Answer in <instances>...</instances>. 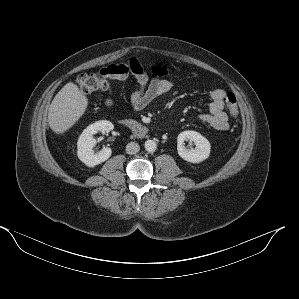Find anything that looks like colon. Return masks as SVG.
Listing matches in <instances>:
<instances>
[{
	"label": "colon",
	"instance_id": "1",
	"mask_svg": "<svg viewBox=\"0 0 299 299\" xmlns=\"http://www.w3.org/2000/svg\"><path fill=\"white\" fill-rule=\"evenodd\" d=\"M124 70L117 65L104 68L98 72L91 74H80L76 78V84L83 93H92L105 90L110 83L121 76ZM226 109L232 118L238 116L239 110L236 97L233 93H228L225 97Z\"/></svg>",
	"mask_w": 299,
	"mask_h": 299
}]
</instances>
